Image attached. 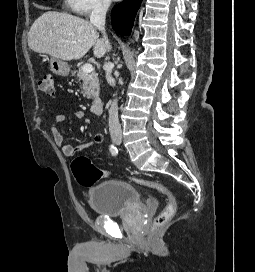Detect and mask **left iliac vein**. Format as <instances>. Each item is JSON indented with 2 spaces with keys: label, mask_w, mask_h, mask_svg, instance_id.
Wrapping results in <instances>:
<instances>
[{
  "label": "left iliac vein",
  "mask_w": 255,
  "mask_h": 272,
  "mask_svg": "<svg viewBox=\"0 0 255 272\" xmlns=\"http://www.w3.org/2000/svg\"><path fill=\"white\" fill-rule=\"evenodd\" d=\"M117 144H120L121 143V136L119 138V140L116 142Z\"/></svg>",
  "instance_id": "4c4485c4"
}]
</instances>
